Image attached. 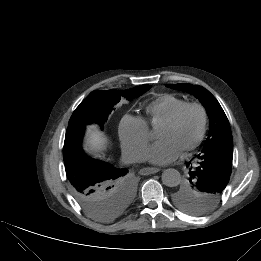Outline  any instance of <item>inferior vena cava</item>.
<instances>
[{
    "mask_svg": "<svg viewBox=\"0 0 261 261\" xmlns=\"http://www.w3.org/2000/svg\"><path fill=\"white\" fill-rule=\"evenodd\" d=\"M122 162L125 164H131L140 162L142 160L141 155L134 151L123 150L122 151Z\"/></svg>",
    "mask_w": 261,
    "mask_h": 261,
    "instance_id": "602c4592",
    "label": "inferior vena cava"
}]
</instances>
